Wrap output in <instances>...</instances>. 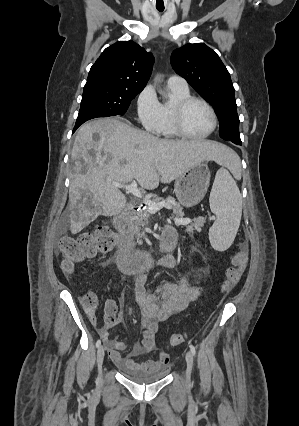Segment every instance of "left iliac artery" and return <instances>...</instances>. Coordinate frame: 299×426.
<instances>
[{
	"label": "left iliac artery",
	"mask_w": 299,
	"mask_h": 426,
	"mask_svg": "<svg viewBox=\"0 0 299 426\" xmlns=\"http://www.w3.org/2000/svg\"><path fill=\"white\" fill-rule=\"evenodd\" d=\"M190 350H191V352H192V354L195 356V354H196V349H195V346L194 345H190Z\"/></svg>",
	"instance_id": "obj_1"
}]
</instances>
